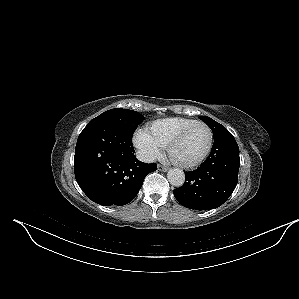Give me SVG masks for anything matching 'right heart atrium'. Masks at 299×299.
I'll return each instance as SVG.
<instances>
[{
  "mask_svg": "<svg viewBox=\"0 0 299 299\" xmlns=\"http://www.w3.org/2000/svg\"><path fill=\"white\" fill-rule=\"evenodd\" d=\"M133 144L146 160H152L158 157L162 151V146H160L145 130H139L134 134Z\"/></svg>",
  "mask_w": 299,
  "mask_h": 299,
  "instance_id": "right-heart-atrium-1",
  "label": "right heart atrium"
}]
</instances>
